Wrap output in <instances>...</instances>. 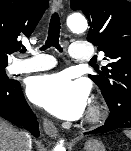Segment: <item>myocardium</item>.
Here are the masks:
<instances>
[{"instance_id": "myocardium-1", "label": "myocardium", "mask_w": 131, "mask_h": 151, "mask_svg": "<svg viewBox=\"0 0 131 151\" xmlns=\"http://www.w3.org/2000/svg\"><path fill=\"white\" fill-rule=\"evenodd\" d=\"M103 117V110L101 108L100 105H98L97 103L92 104L88 111H87V115H86V121L88 123L94 124L99 122Z\"/></svg>"}]
</instances>
